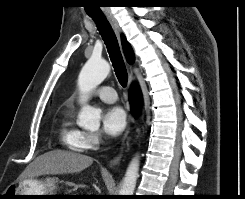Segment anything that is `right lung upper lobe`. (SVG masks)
Listing matches in <instances>:
<instances>
[{
    "mask_svg": "<svg viewBox=\"0 0 245 199\" xmlns=\"http://www.w3.org/2000/svg\"><path fill=\"white\" fill-rule=\"evenodd\" d=\"M121 40H122V46H123V50H124L126 59L130 64H132L134 62V59H135L133 50H132L130 44L127 42L124 35L121 36Z\"/></svg>",
    "mask_w": 245,
    "mask_h": 199,
    "instance_id": "cb5924a9",
    "label": "right lung upper lobe"
}]
</instances>
